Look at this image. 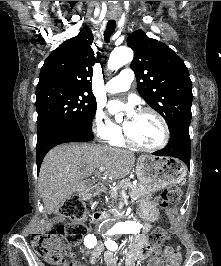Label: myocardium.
<instances>
[{
  "instance_id": "1",
  "label": "myocardium",
  "mask_w": 221,
  "mask_h": 266,
  "mask_svg": "<svg viewBox=\"0 0 221 266\" xmlns=\"http://www.w3.org/2000/svg\"><path fill=\"white\" fill-rule=\"evenodd\" d=\"M138 113L151 114L157 119V121L159 122L162 128V138L160 142L154 146H144L138 143L136 140H134L128 133L127 129L123 127V135H124L125 142L129 144L130 146L138 150L145 151V152H152V151H157L159 149H162L168 143L169 135H170L169 127H168L166 120L163 118V116L160 113H158L156 110L152 108H142L139 110Z\"/></svg>"
}]
</instances>
